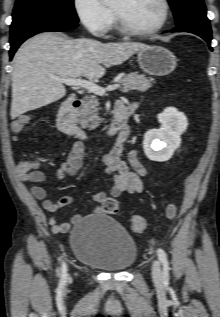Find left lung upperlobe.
I'll use <instances>...</instances> for the list:
<instances>
[{"instance_id":"obj_1","label":"left lung upper lobe","mask_w":220,"mask_h":317,"mask_svg":"<svg viewBox=\"0 0 220 317\" xmlns=\"http://www.w3.org/2000/svg\"><path fill=\"white\" fill-rule=\"evenodd\" d=\"M168 2L174 12L176 25H180L193 17L208 21L203 0H168Z\"/></svg>"}]
</instances>
